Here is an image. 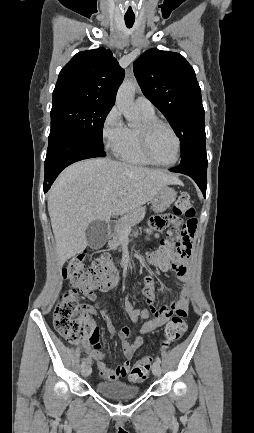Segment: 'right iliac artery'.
<instances>
[{
    "label": "right iliac artery",
    "mask_w": 254,
    "mask_h": 433,
    "mask_svg": "<svg viewBox=\"0 0 254 433\" xmlns=\"http://www.w3.org/2000/svg\"><path fill=\"white\" fill-rule=\"evenodd\" d=\"M85 365H86V362H82V364H81V368H84Z\"/></svg>",
    "instance_id": "1"
}]
</instances>
